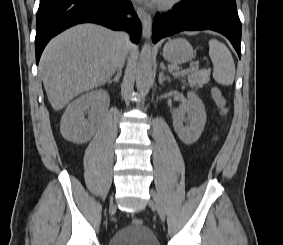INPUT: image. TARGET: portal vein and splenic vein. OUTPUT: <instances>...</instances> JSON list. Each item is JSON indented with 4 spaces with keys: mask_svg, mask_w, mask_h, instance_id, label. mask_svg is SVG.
<instances>
[{
    "mask_svg": "<svg viewBox=\"0 0 283 245\" xmlns=\"http://www.w3.org/2000/svg\"><path fill=\"white\" fill-rule=\"evenodd\" d=\"M199 68V63H196L194 66L190 67V68H187V69H182V70H177L175 72L176 75H184V74H187L189 72H191L192 70L194 69H198ZM170 70L172 71L173 69L170 68Z\"/></svg>",
    "mask_w": 283,
    "mask_h": 245,
    "instance_id": "portal-vein-and-splenic-vein-1",
    "label": "portal vein and splenic vein"
}]
</instances>
